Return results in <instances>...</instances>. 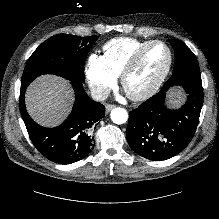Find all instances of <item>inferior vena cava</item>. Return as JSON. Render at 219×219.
<instances>
[{
    "instance_id": "obj_1",
    "label": "inferior vena cava",
    "mask_w": 219,
    "mask_h": 219,
    "mask_svg": "<svg viewBox=\"0 0 219 219\" xmlns=\"http://www.w3.org/2000/svg\"><path fill=\"white\" fill-rule=\"evenodd\" d=\"M90 93L95 101L101 102L107 99L110 91L102 86H92L90 88Z\"/></svg>"
}]
</instances>
